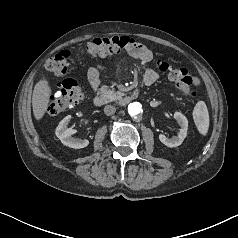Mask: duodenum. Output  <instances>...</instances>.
<instances>
[{
	"label": "duodenum",
	"instance_id": "duodenum-1",
	"mask_svg": "<svg viewBox=\"0 0 238 238\" xmlns=\"http://www.w3.org/2000/svg\"><path fill=\"white\" fill-rule=\"evenodd\" d=\"M138 97V94L137 93H131V94H128L126 96H124L121 100H120V103L122 105H127L129 104L130 102H132L133 100L137 99ZM106 101V98L104 95L102 94H98L96 96H94L93 98V103L96 105V106H101L105 103Z\"/></svg>",
	"mask_w": 238,
	"mask_h": 238
}]
</instances>
